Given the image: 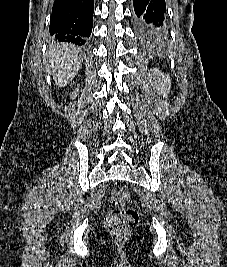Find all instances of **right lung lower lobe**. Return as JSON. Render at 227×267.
Returning a JSON list of instances; mask_svg holds the SVG:
<instances>
[{
  "label": "right lung lower lobe",
  "mask_w": 227,
  "mask_h": 267,
  "mask_svg": "<svg viewBox=\"0 0 227 267\" xmlns=\"http://www.w3.org/2000/svg\"><path fill=\"white\" fill-rule=\"evenodd\" d=\"M94 0H55L49 32L59 41L83 45L93 26Z\"/></svg>",
  "instance_id": "1"
}]
</instances>
